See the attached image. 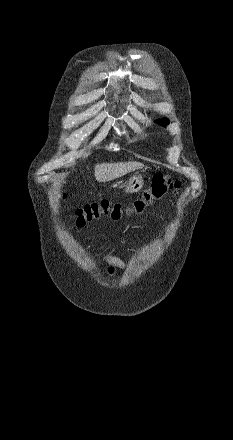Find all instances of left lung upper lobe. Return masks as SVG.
<instances>
[{
    "label": "left lung upper lobe",
    "instance_id": "1",
    "mask_svg": "<svg viewBox=\"0 0 233 440\" xmlns=\"http://www.w3.org/2000/svg\"><path fill=\"white\" fill-rule=\"evenodd\" d=\"M155 122L160 124V125H162V126H166V125L169 124V120L166 119V118H163V119H160V120H156Z\"/></svg>",
    "mask_w": 233,
    "mask_h": 440
}]
</instances>
